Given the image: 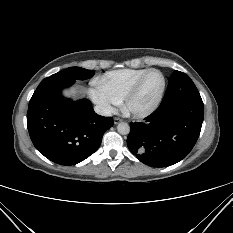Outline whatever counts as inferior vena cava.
Returning <instances> with one entry per match:
<instances>
[{
  "instance_id": "602c4592",
  "label": "inferior vena cava",
  "mask_w": 233,
  "mask_h": 233,
  "mask_svg": "<svg viewBox=\"0 0 233 233\" xmlns=\"http://www.w3.org/2000/svg\"><path fill=\"white\" fill-rule=\"evenodd\" d=\"M94 111L102 116H111L112 115V111L110 108L105 107V106H101V105H96L94 107Z\"/></svg>"
}]
</instances>
